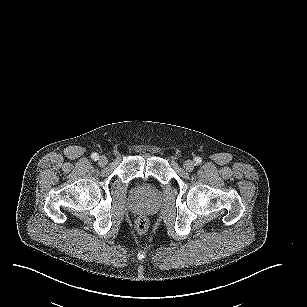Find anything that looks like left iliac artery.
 <instances>
[{
    "mask_svg": "<svg viewBox=\"0 0 307 307\" xmlns=\"http://www.w3.org/2000/svg\"><path fill=\"white\" fill-rule=\"evenodd\" d=\"M194 162H195V164H201L202 158H200V157H195Z\"/></svg>",
    "mask_w": 307,
    "mask_h": 307,
    "instance_id": "left-iliac-artery-1",
    "label": "left iliac artery"
}]
</instances>
